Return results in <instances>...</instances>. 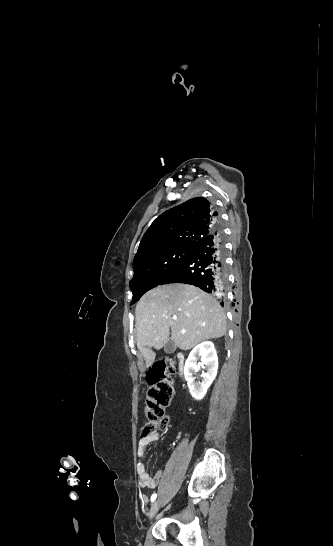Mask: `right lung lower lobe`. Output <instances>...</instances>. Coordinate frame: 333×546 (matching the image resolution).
I'll list each match as a JSON object with an SVG mask.
<instances>
[{
	"label": "right lung lower lobe",
	"mask_w": 333,
	"mask_h": 546,
	"mask_svg": "<svg viewBox=\"0 0 333 546\" xmlns=\"http://www.w3.org/2000/svg\"><path fill=\"white\" fill-rule=\"evenodd\" d=\"M227 277L223 234L217 226L209 235L194 244L188 257L168 273L159 285L186 283L205 292L223 296L227 288Z\"/></svg>",
	"instance_id": "1"
}]
</instances>
